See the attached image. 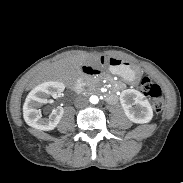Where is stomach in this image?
Returning <instances> with one entry per match:
<instances>
[{"mask_svg": "<svg viewBox=\"0 0 183 183\" xmlns=\"http://www.w3.org/2000/svg\"><path fill=\"white\" fill-rule=\"evenodd\" d=\"M105 65L110 73L119 75L130 83L137 84L141 79L142 71L140 67L132 65L120 58L107 57L105 58Z\"/></svg>", "mask_w": 183, "mask_h": 183, "instance_id": "stomach-1", "label": "stomach"}]
</instances>
